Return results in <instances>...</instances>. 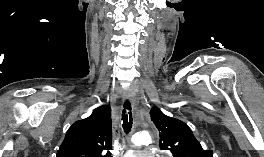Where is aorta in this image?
I'll list each match as a JSON object with an SVG mask.
<instances>
[{"label":"aorta","mask_w":264,"mask_h":157,"mask_svg":"<svg viewBox=\"0 0 264 157\" xmlns=\"http://www.w3.org/2000/svg\"><path fill=\"white\" fill-rule=\"evenodd\" d=\"M133 143L137 147L147 146L151 143V137L145 132L137 133L133 136Z\"/></svg>","instance_id":"obj_1"}]
</instances>
